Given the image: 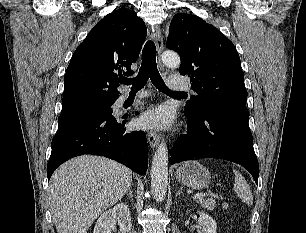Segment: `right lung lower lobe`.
Instances as JSON below:
<instances>
[{
  "instance_id": "1",
  "label": "right lung lower lobe",
  "mask_w": 306,
  "mask_h": 233,
  "mask_svg": "<svg viewBox=\"0 0 306 233\" xmlns=\"http://www.w3.org/2000/svg\"><path fill=\"white\" fill-rule=\"evenodd\" d=\"M122 118L112 112L86 115L62 124L52 140L47 177L68 159L93 154L116 160L143 175L148 168L147 140L144 132H128Z\"/></svg>"
}]
</instances>
